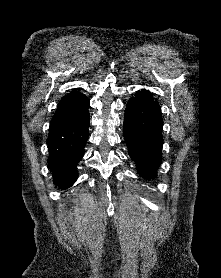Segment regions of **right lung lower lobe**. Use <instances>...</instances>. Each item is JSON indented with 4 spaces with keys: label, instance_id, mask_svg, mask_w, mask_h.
Wrapping results in <instances>:
<instances>
[{
    "label": "right lung lower lobe",
    "instance_id": "right-lung-lower-lobe-1",
    "mask_svg": "<svg viewBox=\"0 0 221 278\" xmlns=\"http://www.w3.org/2000/svg\"><path fill=\"white\" fill-rule=\"evenodd\" d=\"M88 108L78 117L49 132L48 165L54 184L63 189H67L75 182L77 164L84 155L90 122Z\"/></svg>",
    "mask_w": 221,
    "mask_h": 278
}]
</instances>
